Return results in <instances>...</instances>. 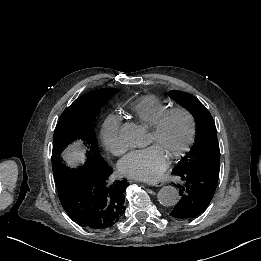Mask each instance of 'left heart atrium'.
I'll return each mask as SVG.
<instances>
[{"label": "left heart atrium", "instance_id": "left-heart-atrium-1", "mask_svg": "<svg viewBox=\"0 0 261 261\" xmlns=\"http://www.w3.org/2000/svg\"><path fill=\"white\" fill-rule=\"evenodd\" d=\"M166 167L167 157L155 144L132 149L119 163L123 174L144 181L160 178Z\"/></svg>", "mask_w": 261, "mask_h": 261}]
</instances>
